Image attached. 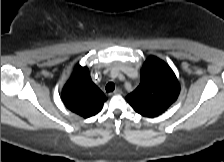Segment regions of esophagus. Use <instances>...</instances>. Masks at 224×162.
<instances>
[{
    "label": "esophagus",
    "instance_id": "esophagus-1",
    "mask_svg": "<svg viewBox=\"0 0 224 162\" xmlns=\"http://www.w3.org/2000/svg\"><path fill=\"white\" fill-rule=\"evenodd\" d=\"M122 93V90L117 88L116 90H114L112 93H109L110 96H113V95H117V94H121Z\"/></svg>",
    "mask_w": 224,
    "mask_h": 162
}]
</instances>
